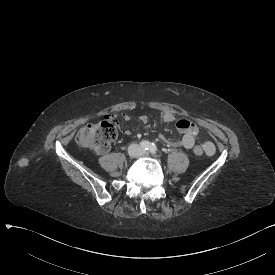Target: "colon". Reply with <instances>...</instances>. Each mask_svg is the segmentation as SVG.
<instances>
[{"label": "colon", "instance_id": "5ec220e1", "mask_svg": "<svg viewBox=\"0 0 275 275\" xmlns=\"http://www.w3.org/2000/svg\"><path fill=\"white\" fill-rule=\"evenodd\" d=\"M118 125L116 121H101L98 123H86L79 130L76 142L79 147L89 149L95 153L105 154L109 151L112 142L118 135ZM197 155H202L205 148L198 145L194 148Z\"/></svg>", "mask_w": 275, "mask_h": 275}]
</instances>
